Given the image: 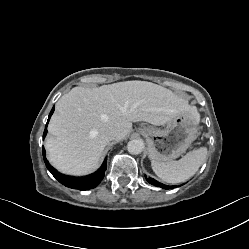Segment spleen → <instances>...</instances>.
Wrapping results in <instances>:
<instances>
[{"label": "spleen", "instance_id": "obj_1", "mask_svg": "<svg viewBox=\"0 0 249 249\" xmlns=\"http://www.w3.org/2000/svg\"><path fill=\"white\" fill-rule=\"evenodd\" d=\"M207 148L201 147L187 153L178 161H152L154 173L164 182L177 184L192 177L204 163L207 157Z\"/></svg>", "mask_w": 249, "mask_h": 249}]
</instances>
